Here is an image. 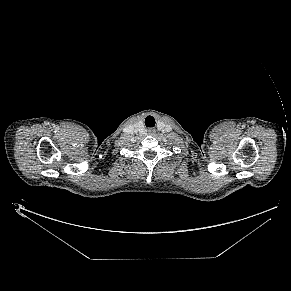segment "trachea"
<instances>
[{"instance_id": "trachea-1", "label": "trachea", "mask_w": 291, "mask_h": 291, "mask_svg": "<svg viewBox=\"0 0 291 291\" xmlns=\"http://www.w3.org/2000/svg\"><path fill=\"white\" fill-rule=\"evenodd\" d=\"M145 125H146L147 127H154V126H155V120H154V118L151 117V116H148V117L146 118V120H145Z\"/></svg>"}]
</instances>
